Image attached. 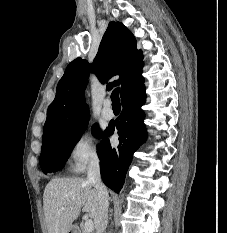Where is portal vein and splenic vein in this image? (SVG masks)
<instances>
[{
  "label": "portal vein and splenic vein",
  "mask_w": 227,
  "mask_h": 233,
  "mask_svg": "<svg viewBox=\"0 0 227 233\" xmlns=\"http://www.w3.org/2000/svg\"><path fill=\"white\" fill-rule=\"evenodd\" d=\"M94 229L93 221L91 219H87L84 224V233H91Z\"/></svg>",
  "instance_id": "obj_1"
}]
</instances>
